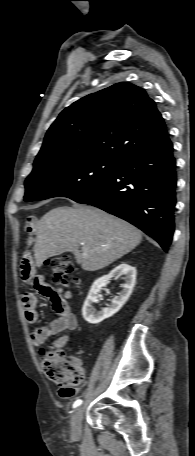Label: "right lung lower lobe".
I'll use <instances>...</instances> for the list:
<instances>
[{
  "label": "right lung lower lobe",
  "mask_w": 195,
  "mask_h": 456,
  "mask_svg": "<svg viewBox=\"0 0 195 456\" xmlns=\"http://www.w3.org/2000/svg\"><path fill=\"white\" fill-rule=\"evenodd\" d=\"M173 144L119 161L116 172L95 189L74 198L137 226L167 251L174 233L176 161Z\"/></svg>",
  "instance_id": "98d812e1"
}]
</instances>
